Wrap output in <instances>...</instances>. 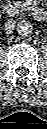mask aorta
I'll use <instances>...</instances> for the list:
<instances>
[{"label": "aorta", "mask_w": 47, "mask_h": 129, "mask_svg": "<svg viewBox=\"0 0 47 129\" xmlns=\"http://www.w3.org/2000/svg\"><path fill=\"white\" fill-rule=\"evenodd\" d=\"M33 25L29 21L22 20L18 22L16 30L19 35L21 36H27L30 35L33 32Z\"/></svg>", "instance_id": "762f6f07"}]
</instances>
